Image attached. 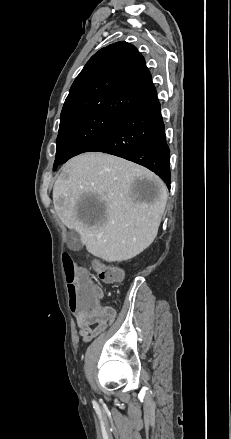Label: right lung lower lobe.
<instances>
[{
  "instance_id": "1",
  "label": "right lung lower lobe",
  "mask_w": 231,
  "mask_h": 439,
  "mask_svg": "<svg viewBox=\"0 0 231 439\" xmlns=\"http://www.w3.org/2000/svg\"><path fill=\"white\" fill-rule=\"evenodd\" d=\"M104 152L140 164L170 188V150L158 98L130 111L84 152Z\"/></svg>"
}]
</instances>
